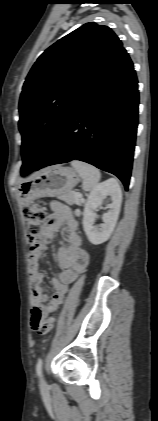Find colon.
Here are the masks:
<instances>
[{
  "mask_svg": "<svg viewBox=\"0 0 158 421\" xmlns=\"http://www.w3.org/2000/svg\"><path fill=\"white\" fill-rule=\"evenodd\" d=\"M22 215L27 225L28 241L31 249L37 247L42 227L46 218L44 208L39 204H26L23 206ZM53 327V319L46 318L42 320L37 326L36 330L45 334L48 333Z\"/></svg>",
  "mask_w": 158,
  "mask_h": 421,
  "instance_id": "colon-1",
  "label": "colon"
}]
</instances>
